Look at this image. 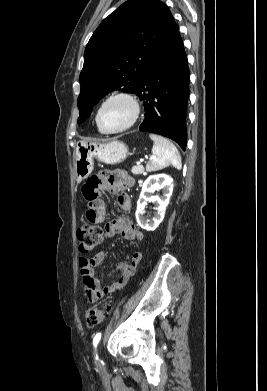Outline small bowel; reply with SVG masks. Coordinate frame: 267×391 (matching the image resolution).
Segmentation results:
<instances>
[{"label":"small bowel","instance_id":"c3829d8e","mask_svg":"<svg viewBox=\"0 0 267 391\" xmlns=\"http://www.w3.org/2000/svg\"><path fill=\"white\" fill-rule=\"evenodd\" d=\"M133 185V179L122 170L108 171L89 178L83 185L82 192L87 202L85 218L90 224L102 223L107 214V206L103 196L107 193L117 196V203L124 211H130L132 202L126 190ZM105 233L112 237L120 234L128 241H141L143 233L139 231L127 218L118 217L105 226ZM105 258V252L100 251L91 258H80L79 267L83 287L87 298L92 302L105 294L120 290L134 274L136 266L142 259L141 252H135L131 262H118L114 272L121 273L117 281H108L102 287L100 279L94 270Z\"/></svg>","mask_w":267,"mask_h":391}]
</instances>
